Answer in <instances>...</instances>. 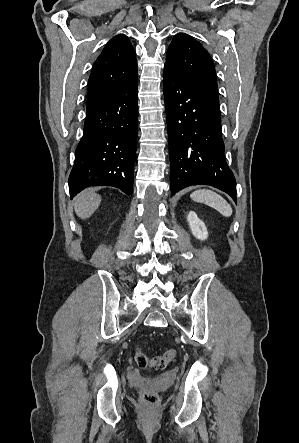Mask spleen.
<instances>
[{
	"label": "spleen",
	"mask_w": 299,
	"mask_h": 443,
	"mask_svg": "<svg viewBox=\"0 0 299 443\" xmlns=\"http://www.w3.org/2000/svg\"><path fill=\"white\" fill-rule=\"evenodd\" d=\"M190 197L195 202L204 203L214 208L225 217H230L233 213L230 204L222 196L211 190H196L190 195Z\"/></svg>",
	"instance_id": "spleen-1"
}]
</instances>
